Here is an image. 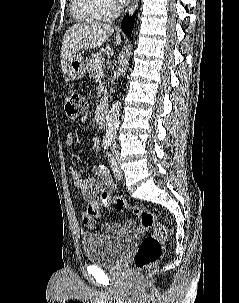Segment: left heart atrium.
<instances>
[{
	"label": "left heart atrium",
	"mask_w": 239,
	"mask_h": 303,
	"mask_svg": "<svg viewBox=\"0 0 239 303\" xmlns=\"http://www.w3.org/2000/svg\"><path fill=\"white\" fill-rule=\"evenodd\" d=\"M128 0H120V2L122 3H126Z\"/></svg>",
	"instance_id": "39dd6f15"
}]
</instances>
